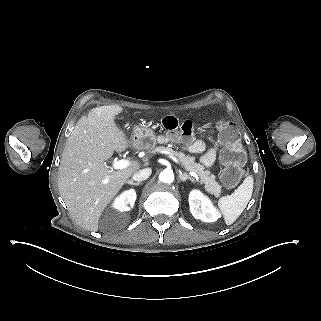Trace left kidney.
<instances>
[{"label":"left kidney","instance_id":"left-kidney-1","mask_svg":"<svg viewBox=\"0 0 321 321\" xmlns=\"http://www.w3.org/2000/svg\"><path fill=\"white\" fill-rule=\"evenodd\" d=\"M188 200L190 212L195 219H200L203 222H215L221 217L211 200L200 190H192Z\"/></svg>","mask_w":321,"mask_h":321}]
</instances>
